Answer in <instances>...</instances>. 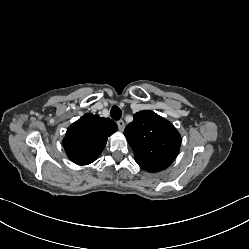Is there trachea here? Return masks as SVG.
Masks as SVG:
<instances>
[{
    "label": "trachea",
    "mask_w": 249,
    "mask_h": 249,
    "mask_svg": "<svg viewBox=\"0 0 249 249\" xmlns=\"http://www.w3.org/2000/svg\"><path fill=\"white\" fill-rule=\"evenodd\" d=\"M110 115L114 120H119L122 116V111L118 106H113L111 108Z\"/></svg>",
    "instance_id": "obj_1"
}]
</instances>
